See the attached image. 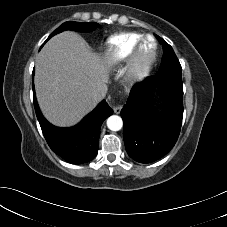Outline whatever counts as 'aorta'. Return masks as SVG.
Masks as SVG:
<instances>
[{
    "label": "aorta",
    "instance_id": "obj_1",
    "mask_svg": "<svg viewBox=\"0 0 227 227\" xmlns=\"http://www.w3.org/2000/svg\"><path fill=\"white\" fill-rule=\"evenodd\" d=\"M107 127L111 131H119L123 127V121L121 117L112 115L107 119Z\"/></svg>",
    "mask_w": 227,
    "mask_h": 227
}]
</instances>
